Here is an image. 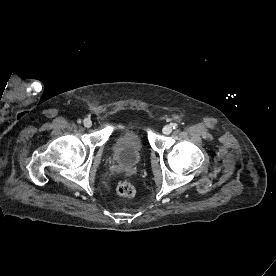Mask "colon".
Returning <instances> with one entry per match:
<instances>
[{
	"mask_svg": "<svg viewBox=\"0 0 276 276\" xmlns=\"http://www.w3.org/2000/svg\"><path fill=\"white\" fill-rule=\"evenodd\" d=\"M117 193L121 197L132 198L136 194V189L132 183L121 181L117 186Z\"/></svg>",
	"mask_w": 276,
	"mask_h": 276,
	"instance_id": "1",
	"label": "colon"
}]
</instances>
